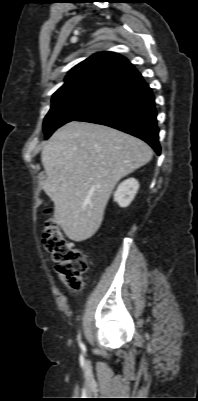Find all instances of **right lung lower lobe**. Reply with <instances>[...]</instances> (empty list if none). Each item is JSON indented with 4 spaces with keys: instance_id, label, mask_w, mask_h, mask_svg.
Segmentation results:
<instances>
[{
    "instance_id": "98d812e1",
    "label": "right lung lower lobe",
    "mask_w": 198,
    "mask_h": 401,
    "mask_svg": "<svg viewBox=\"0 0 198 401\" xmlns=\"http://www.w3.org/2000/svg\"><path fill=\"white\" fill-rule=\"evenodd\" d=\"M156 116L153 93L141 74L136 72L109 89L94 109L75 121L121 130L144 140L160 155Z\"/></svg>"
}]
</instances>
